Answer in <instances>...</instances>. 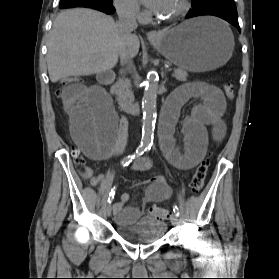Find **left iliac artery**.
I'll return each instance as SVG.
<instances>
[{
    "label": "left iliac artery",
    "mask_w": 279,
    "mask_h": 279,
    "mask_svg": "<svg viewBox=\"0 0 279 279\" xmlns=\"http://www.w3.org/2000/svg\"><path fill=\"white\" fill-rule=\"evenodd\" d=\"M146 150H147V149H146ZM148 150H150V148H148ZM173 211H174L175 215H176L177 217H179L180 211H179V208H178L176 205L173 207Z\"/></svg>",
    "instance_id": "44dca946"
}]
</instances>
